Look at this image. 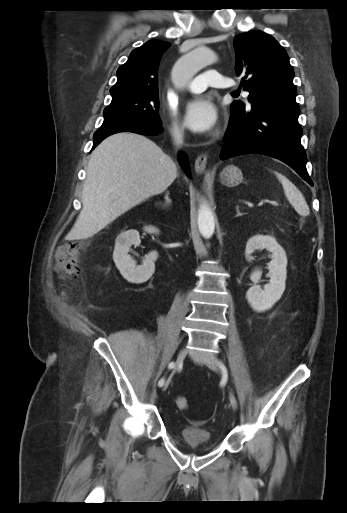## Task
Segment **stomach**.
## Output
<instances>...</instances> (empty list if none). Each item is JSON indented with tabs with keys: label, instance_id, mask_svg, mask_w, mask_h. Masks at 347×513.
<instances>
[{
	"label": "stomach",
	"instance_id": "stomach-1",
	"mask_svg": "<svg viewBox=\"0 0 347 513\" xmlns=\"http://www.w3.org/2000/svg\"><path fill=\"white\" fill-rule=\"evenodd\" d=\"M220 181L228 187L236 186L243 181L242 171L234 165L226 166L220 173Z\"/></svg>",
	"mask_w": 347,
	"mask_h": 513
}]
</instances>
